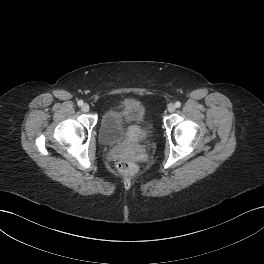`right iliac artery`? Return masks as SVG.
Wrapping results in <instances>:
<instances>
[{
	"label": "right iliac artery",
	"mask_w": 264,
	"mask_h": 264,
	"mask_svg": "<svg viewBox=\"0 0 264 264\" xmlns=\"http://www.w3.org/2000/svg\"><path fill=\"white\" fill-rule=\"evenodd\" d=\"M77 104H78V106H82L83 105V101L79 100Z\"/></svg>",
	"instance_id": "82829eb1"
}]
</instances>
